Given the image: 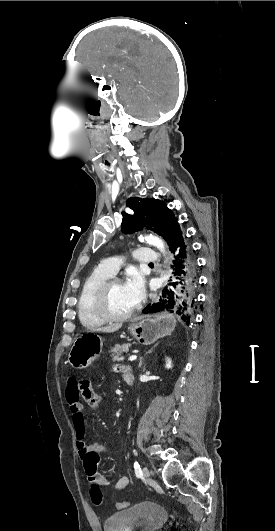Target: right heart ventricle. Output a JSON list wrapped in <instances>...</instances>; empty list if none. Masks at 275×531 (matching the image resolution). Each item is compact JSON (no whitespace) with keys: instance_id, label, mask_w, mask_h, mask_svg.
Listing matches in <instances>:
<instances>
[{"instance_id":"right-heart-ventricle-1","label":"right heart ventricle","mask_w":275,"mask_h":531,"mask_svg":"<svg viewBox=\"0 0 275 531\" xmlns=\"http://www.w3.org/2000/svg\"><path fill=\"white\" fill-rule=\"evenodd\" d=\"M110 276L112 275L104 270H97L82 285L77 301V313L81 324L87 328L99 327L105 323V320L94 312L92 300L99 285Z\"/></svg>"}]
</instances>
